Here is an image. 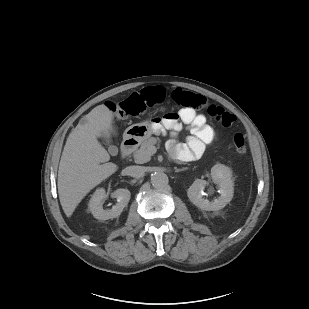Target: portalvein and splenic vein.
<instances>
[{
	"instance_id": "18ae733b",
	"label": "portal vein and splenic vein",
	"mask_w": 309,
	"mask_h": 309,
	"mask_svg": "<svg viewBox=\"0 0 309 309\" xmlns=\"http://www.w3.org/2000/svg\"><path fill=\"white\" fill-rule=\"evenodd\" d=\"M155 152H156V148L155 147L150 148V153L151 154H154Z\"/></svg>"
}]
</instances>
